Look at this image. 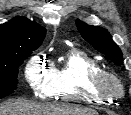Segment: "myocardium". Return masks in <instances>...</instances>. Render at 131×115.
Segmentation results:
<instances>
[{
    "instance_id": "obj_1",
    "label": "myocardium",
    "mask_w": 131,
    "mask_h": 115,
    "mask_svg": "<svg viewBox=\"0 0 131 115\" xmlns=\"http://www.w3.org/2000/svg\"><path fill=\"white\" fill-rule=\"evenodd\" d=\"M90 85L95 91L112 97L119 96L123 92V85L120 79L105 70L94 73L91 77Z\"/></svg>"
}]
</instances>
